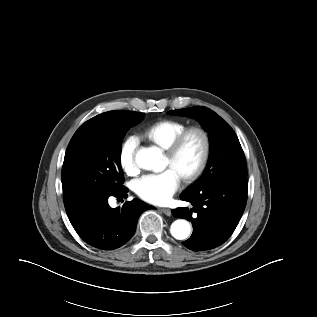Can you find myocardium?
<instances>
[{
  "mask_svg": "<svg viewBox=\"0 0 317 317\" xmlns=\"http://www.w3.org/2000/svg\"><path fill=\"white\" fill-rule=\"evenodd\" d=\"M192 134H197L200 136L202 140V153L196 167L191 172L181 176L187 182L197 180L202 175L207 166L211 152V139L209 133L200 126L187 127L174 139L171 145L166 149V155L172 160L176 159L186 140Z\"/></svg>",
  "mask_w": 317,
  "mask_h": 317,
  "instance_id": "1",
  "label": "myocardium"
}]
</instances>
